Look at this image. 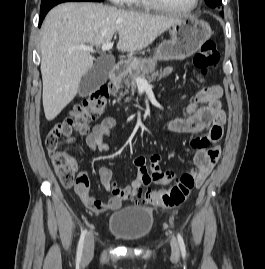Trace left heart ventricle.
Returning a JSON list of instances; mask_svg holds the SVG:
<instances>
[{
    "label": "left heart ventricle",
    "instance_id": "obj_1",
    "mask_svg": "<svg viewBox=\"0 0 265 269\" xmlns=\"http://www.w3.org/2000/svg\"><path fill=\"white\" fill-rule=\"evenodd\" d=\"M162 1L169 6L180 9L188 8L193 2V0H162Z\"/></svg>",
    "mask_w": 265,
    "mask_h": 269
}]
</instances>
